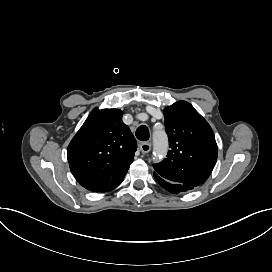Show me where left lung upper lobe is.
I'll use <instances>...</instances> for the list:
<instances>
[{"instance_id":"left-lung-upper-lobe-1","label":"left lung upper lobe","mask_w":272,"mask_h":272,"mask_svg":"<svg viewBox=\"0 0 272 272\" xmlns=\"http://www.w3.org/2000/svg\"><path fill=\"white\" fill-rule=\"evenodd\" d=\"M164 116L171 149L166 159L154 164L155 173L173 183L197 187L209 177L217 160L214 133L186 101L165 108Z\"/></svg>"}]
</instances>
